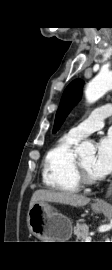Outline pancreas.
<instances>
[{
  "label": "pancreas",
  "instance_id": "cf45deb5",
  "mask_svg": "<svg viewBox=\"0 0 112 270\" xmlns=\"http://www.w3.org/2000/svg\"><path fill=\"white\" fill-rule=\"evenodd\" d=\"M80 220L76 223L74 227V235L76 236V242H84L86 237H88V226Z\"/></svg>",
  "mask_w": 112,
  "mask_h": 270
}]
</instances>
